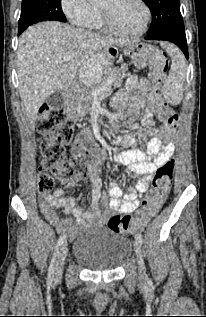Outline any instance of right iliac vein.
Segmentation results:
<instances>
[{
    "label": "right iliac vein",
    "mask_w": 206,
    "mask_h": 317,
    "mask_svg": "<svg viewBox=\"0 0 206 317\" xmlns=\"http://www.w3.org/2000/svg\"><path fill=\"white\" fill-rule=\"evenodd\" d=\"M67 253H68V245L65 242L61 246V249H60L59 254L57 256V259H56V263H55V267H54V272H55L56 278H59L62 275Z\"/></svg>",
    "instance_id": "1"
}]
</instances>
